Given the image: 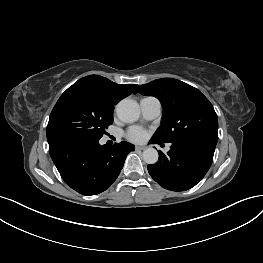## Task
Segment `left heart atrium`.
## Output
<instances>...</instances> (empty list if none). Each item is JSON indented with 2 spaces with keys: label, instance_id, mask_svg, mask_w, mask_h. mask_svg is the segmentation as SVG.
Wrapping results in <instances>:
<instances>
[{
  "label": "left heart atrium",
  "instance_id": "obj_1",
  "mask_svg": "<svg viewBox=\"0 0 263 263\" xmlns=\"http://www.w3.org/2000/svg\"><path fill=\"white\" fill-rule=\"evenodd\" d=\"M146 136L147 132L140 127H131L126 132V138L135 143L144 141Z\"/></svg>",
  "mask_w": 263,
  "mask_h": 263
}]
</instances>
